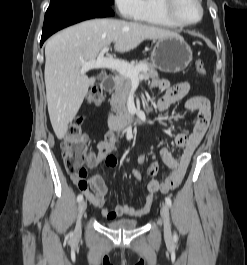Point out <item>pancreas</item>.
I'll return each mask as SVG.
<instances>
[{
    "instance_id": "obj_1",
    "label": "pancreas",
    "mask_w": 247,
    "mask_h": 265,
    "mask_svg": "<svg viewBox=\"0 0 247 265\" xmlns=\"http://www.w3.org/2000/svg\"><path fill=\"white\" fill-rule=\"evenodd\" d=\"M143 65L147 68L146 71H140V75L144 78L158 79V72L155 70L153 65L147 61L143 60L139 63L133 64L136 67ZM115 92L112 94L110 104L114 112L123 113L126 112V101L131 90L132 80L124 75H116L115 77Z\"/></svg>"
}]
</instances>
